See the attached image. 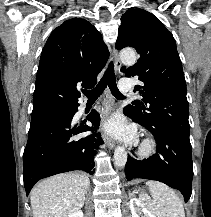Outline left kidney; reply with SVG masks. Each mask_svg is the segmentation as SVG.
Returning a JSON list of instances; mask_svg holds the SVG:
<instances>
[{
    "mask_svg": "<svg viewBox=\"0 0 211 217\" xmlns=\"http://www.w3.org/2000/svg\"><path fill=\"white\" fill-rule=\"evenodd\" d=\"M130 210L132 217H155L138 198L130 199Z\"/></svg>",
    "mask_w": 211,
    "mask_h": 217,
    "instance_id": "left-kidney-1",
    "label": "left kidney"
}]
</instances>
